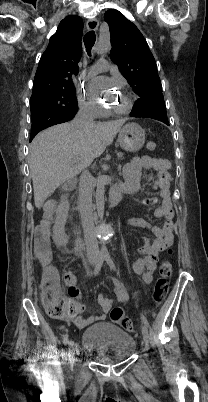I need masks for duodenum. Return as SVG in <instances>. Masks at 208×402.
Instances as JSON below:
<instances>
[{"mask_svg": "<svg viewBox=\"0 0 208 402\" xmlns=\"http://www.w3.org/2000/svg\"><path fill=\"white\" fill-rule=\"evenodd\" d=\"M75 186H76V181H73L72 182L73 189L75 188ZM126 192H127V189L125 188V186H123V185L114 186L111 189L110 194H109V204L111 206L116 205L122 198V195Z\"/></svg>", "mask_w": 208, "mask_h": 402, "instance_id": "410a0bca", "label": "duodenum"}]
</instances>
